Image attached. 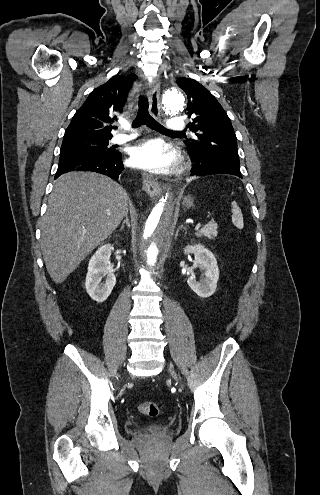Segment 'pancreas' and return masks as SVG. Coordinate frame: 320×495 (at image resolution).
<instances>
[{
	"mask_svg": "<svg viewBox=\"0 0 320 495\" xmlns=\"http://www.w3.org/2000/svg\"><path fill=\"white\" fill-rule=\"evenodd\" d=\"M217 224L214 221H210L208 224L204 225V227L196 233L197 237H206L208 239H214L218 232H217Z\"/></svg>",
	"mask_w": 320,
	"mask_h": 495,
	"instance_id": "pancreas-1",
	"label": "pancreas"
}]
</instances>
